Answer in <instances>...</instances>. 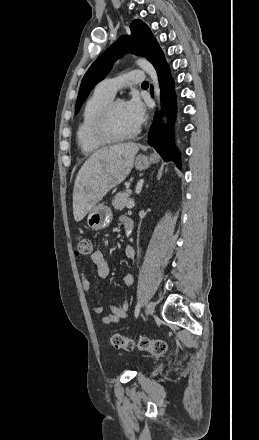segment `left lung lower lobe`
Segmentation results:
<instances>
[{
    "label": "left lung lower lobe",
    "mask_w": 259,
    "mask_h": 440,
    "mask_svg": "<svg viewBox=\"0 0 259 440\" xmlns=\"http://www.w3.org/2000/svg\"><path fill=\"white\" fill-rule=\"evenodd\" d=\"M149 61L154 65L161 86V93L165 94L167 103V112L170 118L175 116L176 102L173 86V79L170 74V68L167 64L164 54L158 47L151 55ZM151 94H153L151 86ZM148 144L156 149L165 161H174L180 168V154L171 140L166 135L160 120L154 119L148 133Z\"/></svg>",
    "instance_id": "1"
}]
</instances>
